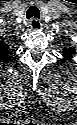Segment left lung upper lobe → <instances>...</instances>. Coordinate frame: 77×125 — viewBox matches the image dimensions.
<instances>
[{
	"instance_id": "5c2ea615",
	"label": "left lung upper lobe",
	"mask_w": 77,
	"mask_h": 125,
	"mask_svg": "<svg viewBox=\"0 0 77 125\" xmlns=\"http://www.w3.org/2000/svg\"><path fill=\"white\" fill-rule=\"evenodd\" d=\"M73 53H75L74 48L63 49V54L67 58L71 57Z\"/></svg>"
}]
</instances>
